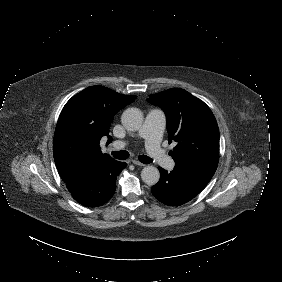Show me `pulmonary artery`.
Listing matches in <instances>:
<instances>
[{
  "label": "pulmonary artery",
  "mask_w": 282,
  "mask_h": 282,
  "mask_svg": "<svg viewBox=\"0 0 282 282\" xmlns=\"http://www.w3.org/2000/svg\"><path fill=\"white\" fill-rule=\"evenodd\" d=\"M165 116L160 110H151L141 128L139 129L138 136L145 141V150L148 157L156 162L159 168L165 169L171 165L172 159L168 153H165L161 145V135L165 128ZM126 146L125 142L115 141L112 147L121 149Z\"/></svg>",
  "instance_id": "1"
}]
</instances>
